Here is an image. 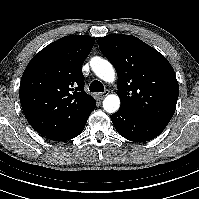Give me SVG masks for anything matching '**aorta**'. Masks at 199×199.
Segmentation results:
<instances>
[{"label":"aorta","mask_w":199,"mask_h":199,"mask_svg":"<svg viewBox=\"0 0 199 199\" xmlns=\"http://www.w3.org/2000/svg\"><path fill=\"white\" fill-rule=\"evenodd\" d=\"M90 65L94 73L103 81L112 83L115 80V71L112 64L100 57L92 58ZM120 107V98L116 94L106 96L103 108L108 113H115Z\"/></svg>","instance_id":"1"}]
</instances>
